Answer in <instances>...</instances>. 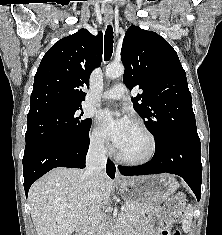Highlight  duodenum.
I'll list each match as a JSON object with an SVG mask.
<instances>
[{
    "instance_id": "410a0bca",
    "label": "duodenum",
    "mask_w": 222,
    "mask_h": 235,
    "mask_svg": "<svg viewBox=\"0 0 222 235\" xmlns=\"http://www.w3.org/2000/svg\"><path fill=\"white\" fill-rule=\"evenodd\" d=\"M87 231H86V225L85 223H81L78 227H77V235H86ZM116 235H123L122 233H118Z\"/></svg>"
}]
</instances>
